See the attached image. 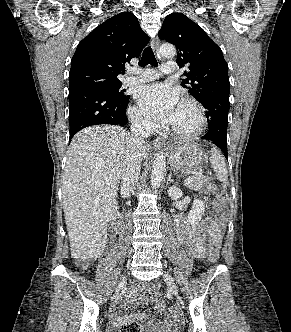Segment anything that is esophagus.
Wrapping results in <instances>:
<instances>
[{"instance_id": "esophagus-1", "label": "esophagus", "mask_w": 291, "mask_h": 332, "mask_svg": "<svg viewBox=\"0 0 291 332\" xmlns=\"http://www.w3.org/2000/svg\"><path fill=\"white\" fill-rule=\"evenodd\" d=\"M159 46H160V40L158 37H155L152 42V49L158 59H161L160 53H159ZM153 147L155 148H160V147H165L166 142L163 138H156L153 140Z\"/></svg>"}]
</instances>
